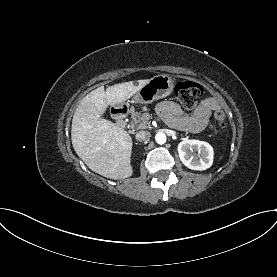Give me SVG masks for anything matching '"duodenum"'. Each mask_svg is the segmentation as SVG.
<instances>
[{
    "instance_id": "obj_1",
    "label": "duodenum",
    "mask_w": 277,
    "mask_h": 277,
    "mask_svg": "<svg viewBox=\"0 0 277 277\" xmlns=\"http://www.w3.org/2000/svg\"><path fill=\"white\" fill-rule=\"evenodd\" d=\"M128 109L125 106H119L112 109V115L116 120V124L120 128H124L126 125V118L128 116Z\"/></svg>"
}]
</instances>
